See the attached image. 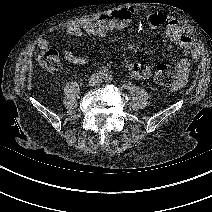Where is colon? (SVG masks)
<instances>
[{
    "mask_svg": "<svg viewBox=\"0 0 212 212\" xmlns=\"http://www.w3.org/2000/svg\"><path fill=\"white\" fill-rule=\"evenodd\" d=\"M38 63L50 72H56L61 67V56L55 50H44L37 55ZM152 80L161 86H169L173 82L170 67L164 63H157L152 71Z\"/></svg>",
    "mask_w": 212,
    "mask_h": 212,
    "instance_id": "5ec220e1",
    "label": "colon"
}]
</instances>
